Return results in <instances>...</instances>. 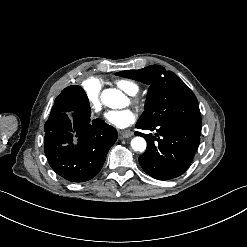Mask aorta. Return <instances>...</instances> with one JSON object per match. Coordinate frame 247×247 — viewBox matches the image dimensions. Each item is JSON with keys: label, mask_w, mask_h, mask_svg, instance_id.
<instances>
[{"label": "aorta", "mask_w": 247, "mask_h": 247, "mask_svg": "<svg viewBox=\"0 0 247 247\" xmlns=\"http://www.w3.org/2000/svg\"><path fill=\"white\" fill-rule=\"evenodd\" d=\"M102 102L109 108H121L124 104L123 94L116 89H106L102 93ZM147 144L144 138L135 137L131 141V148L134 151L144 152Z\"/></svg>", "instance_id": "obj_1"}]
</instances>
